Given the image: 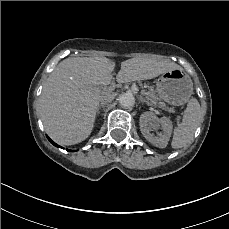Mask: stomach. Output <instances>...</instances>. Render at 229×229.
<instances>
[{
	"instance_id": "stomach-1",
	"label": "stomach",
	"mask_w": 229,
	"mask_h": 229,
	"mask_svg": "<svg viewBox=\"0 0 229 229\" xmlns=\"http://www.w3.org/2000/svg\"><path fill=\"white\" fill-rule=\"evenodd\" d=\"M156 91L167 103L180 106L189 101L193 93V82L183 69H172L157 79Z\"/></svg>"
}]
</instances>
